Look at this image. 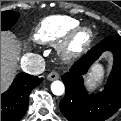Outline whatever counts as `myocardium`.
Wrapping results in <instances>:
<instances>
[{"label":"myocardium","instance_id":"obj_1","mask_svg":"<svg viewBox=\"0 0 121 121\" xmlns=\"http://www.w3.org/2000/svg\"><path fill=\"white\" fill-rule=\"evenodd\" d=\"M79 38H82L79 40ZM94 39V32L87 27L73 29L59 45L58 51L64 60H71L84 53Z\"/></svg>","mask_w":121,"mask_h":121}]
</instances>
